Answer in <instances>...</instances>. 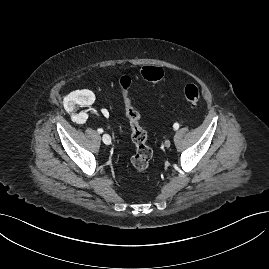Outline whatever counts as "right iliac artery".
<instances>
[{
    "label": "right iliac artery",
    "instance_id": "right-iliac-artery-1",
    "mask_svg": "<svg viewBox=\"0 0 269 269\" xmlns=\"http://www.w3.org/2000/svg\"><path fill=\"white\" fill-rule=\"evenodd\" d=\"M97 131H98V133H103V129L102 128H99Z\"/></svg>",
    "mask_w": 269,
    "mask_h": 269
}]
</instances>
